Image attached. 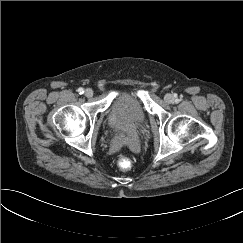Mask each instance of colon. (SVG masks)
Wrapping results in <instances>:
<instances>
[{
	"mask_svg": "<svg viewBox=\"0 0 243 243\" xmlns=\"http://www.w3.org/2000/svg\"><path fill=\"white\" fill-rule=\"evenodd\" d=\"M118 165L122 170H129L132 162L128 157L121 155L118 160Z\"/></svg>",
	"mask_w": 243,
	"mask_h": 243,
	"instance_id": "1",
	"label": "colon"
}]
</instances>
